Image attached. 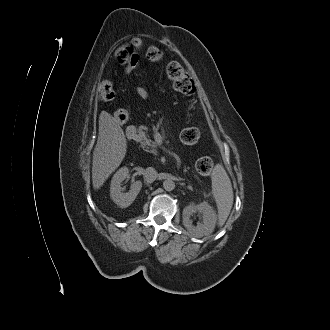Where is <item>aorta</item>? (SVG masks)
<instances>
[{
    "label": "aorta",
    "instance_id": "aorta-1",
    "mask_svg": "<svg viewBox=\"0 0 330 330\" xmlns=\"http://www.w3.org/2000/svg\"><path fill=\"white\" fill-rule=\"evenodd\" d=\"M163 188L166 190V191H172L174 188H175V183L168 179V180H165L163 182Z\"/></svg>",
    "mask_w": 330,
    "mask_h": 330
}]
</instances>
